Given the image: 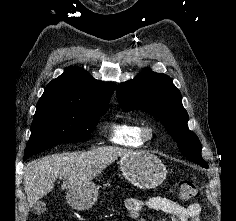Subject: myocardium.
<instances>
[{
  "label": "myocardium",
  "instance_id": "1",
  "mask_svg": "<svg viewBox=\"0 0 236 221\" xmlns=\"http://www.w3.org/2000/svg\"><path fill=\"white\" fill-rule=\"evenodd\" d=\"M156 135V130L153 126L146 125L142 129V136L145 141H150L154 139Z\"/></svg>",
  "mask_w": 236,
  "mask_h": 221
}]
</instances>
